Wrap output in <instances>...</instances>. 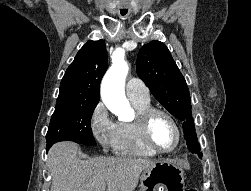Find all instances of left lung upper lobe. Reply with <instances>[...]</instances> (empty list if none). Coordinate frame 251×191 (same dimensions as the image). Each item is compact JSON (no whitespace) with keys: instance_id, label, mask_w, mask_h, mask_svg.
<instances>
[{"instance_id":"obj_1","label":"left lung upper lobe","mask_w":251,"mask_h":191,"mask_svg":"<svg viewBox=\"0 0 251 191\" xmlns=\"http://www.w3.org/2000/svg\"><path fill=\"white\" fill-rule=\"evenodd\" d=\"M137 74L153 96L175 117L183 121V132L190 152H200L191 114V99L184 77L170 51L160 41L142 46L136 61Z\"/></svg>"}]
</instances>
